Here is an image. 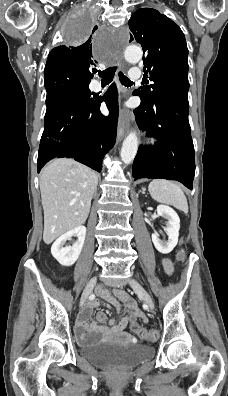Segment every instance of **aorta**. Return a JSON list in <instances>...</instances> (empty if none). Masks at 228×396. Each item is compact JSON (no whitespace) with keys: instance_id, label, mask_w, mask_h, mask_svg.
Listing matches in <instances>:
<instances>
[{"instance_id":"aorta-1","label":"aorta","mask_w":228,"mask_h":396,"mask_svg":"<svg viewBox=\"0 0 228 396\" xmlns=\"http://www.w3.org/2000/svg\"><path fill=\"white\" fill-rule=\"evenodd\" d=\"M142 50L140 47L127 46L124 51L125 59L129 62H138L142 58ZM138 150V138L135 132H130L123 141L120 156L125 164H130Z\"/></svg>"}]
</instances>
